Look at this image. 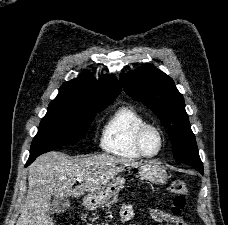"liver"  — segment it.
Segmentation results:
<instances>
[{
  "label": "liver",
  "mask_w": 228,
  "mask_h": 225,
  "mask_svg": "<svg viewBox=\"0 0 228 225\" xmlns=\"http://www.w3.org/2000/svg\"><path fill=\"white\" fill-rule=\"evenodd\" d=\"M140 163L112 155H87V159H71L64 153H45L28 167V193L17 225H53L49 215L51 197H82L94 193L110 183L113 177L126 169H135ZM80 185L72 189L74 179Z\"/></svg>",
  "instance_id": "obj_1"
}]
</instances>
